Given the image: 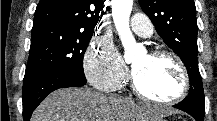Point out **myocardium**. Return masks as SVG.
Returning a JSON list of instances; mask_svg holds the SVG:
<instances>
[{"label": "myocardium", "mask_w": 217, "mask_h": 121, "mask_svg": "<svg viewBox=\"0 0 217 121\" xmlns=\"http://www.w3.org/2000/svg\"><path fill=\"white\" fill-rule=\"evenodd\" d=\"M149 57L151 58H161V57H166L169 58L173 61L177 69L179 70L180 77H181V86L179 91L171 98L169 99H158L155 98L149 94H147L145 91L142 90V88L139 86L138 81L133 73V71H130V81H131V87L133 92L142 100L158 104V105H173L181 100H183L190 89V77L188 70L182 61V59L176 55L174 52L170 50H154L148 54Z\"/></svg>", "instance_id": "obj_1"}]
</instances>
